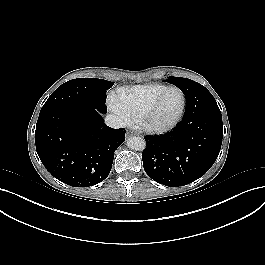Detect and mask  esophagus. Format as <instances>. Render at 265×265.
Wrapping results in <instances>:
<instances>
[{"mask_svg":"<svg viewBox=\"0 0 265 265\" xmlns=\"http://www.w3.org/2000/svg\"><path fill=\"white\" fill-rule=\"evenodd\" d=\"M128 134H129V135H135V133H134V132H128Z\"/></svg>","mask_w":265,"mask_h":265,"instance_id":"1","label":"esophagus"}]
</instances>
